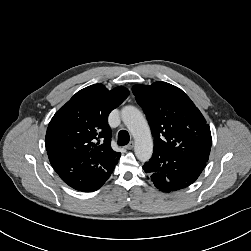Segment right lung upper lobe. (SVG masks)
I'll list each match as a JSON object with an SVG mask.
<instances>
[{"instance_id":"right-lung-upper-lobe-1","label":"right lung upper lobe","mask_w":251,"mask_h":251,"mask_svg":"<svg viewBox=\"0 0 251 251\" xmlns=\"http://www.w3.org/2000/svg\"><path fill=\"white\" fill-rule=\"evenodd\" d=\"M129 95L119 86L109 91L94 84L77 92L51 119L46 132L48 157L67 150L79 160L98 162L105 171H112L121 156L110 146L109 113Z\"/></svg>"}]
</instances>
